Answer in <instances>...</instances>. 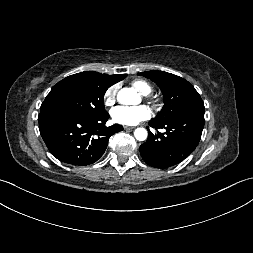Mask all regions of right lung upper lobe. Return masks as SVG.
<instances>
[{"mask_svg":"<svg viewBox=\"0 0 253 253\" xmlns=\"http://www.w3.org/2000/svg\"><path fill=\"white\" fill-rule=\"evenodd\" d=\"M105 75L107 76L108 79H110L112 82H114V84L123 80L127 76V74H117V75L105 74Z\"/></svg>","mask_w":253,"mask_h":253,"instance_id":"obj_1","label":"right lung upper lobe"}]
</instances>
